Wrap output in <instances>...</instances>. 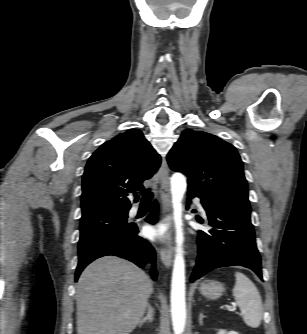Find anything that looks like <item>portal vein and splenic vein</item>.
Returning a JSON list of instances; mask_svg holds the SVG:
<instances>
[{"label": "portal vein and splenic vein", "instance_id": "portal-vein-and-splenic-vein-1", "mask_svg": "<svg viewBox=\"0 0 307 334\" xmlns=\"http://www.w3.org/2000/svg\"><path fill=\"white\" fill-rule=\"evenodd\" d=\"M228 310H229V311H232L233 309H232V307L229 306V307H228Z\"/></svg>", "mask_w": 307, "mask_h": 334}]
</instances>
